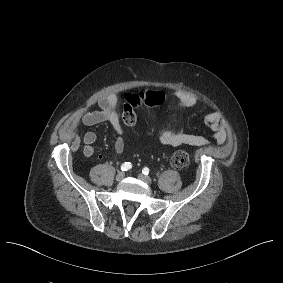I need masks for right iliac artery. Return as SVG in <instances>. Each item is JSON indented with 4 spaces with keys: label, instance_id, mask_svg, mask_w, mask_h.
<instances>
[{
    "label": "right iliac artery",
    "instance_id": "obj_1",
    "mask_svg": "<svg viewBox=\"0 0 283 283\" xmlns=\"http://www.w3.org/2000/svg\"><path fill=\"white\" fill-rule=\"evenodd\" d=\"M131 168H132V165H131L130 162H125V163H123L122 166H121V170H122V171H127V170H129V169H131Z\"/></svg>",
    "mask_w": 283,
    "mask_h": 283
}]
</instances>
